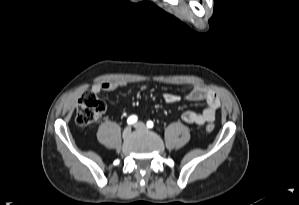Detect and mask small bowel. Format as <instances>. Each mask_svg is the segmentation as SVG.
<instances>
[{
    "label": "small bowel",
    "instance_id": "c3829d8e",
    "mask_svg": "<svg viewBox=\"0 0 299 205\" xmlns=\"http://www.w3.org/2000/svg\"><path fill=\"white\" fill-rule=\"evenodd\" d=\"M124 86L122 82L105 81L94 84L91 88V92L99 94L103 91H112ZM190 101H204L206 107L202 112L185 111L182 115V119L188 124L203 125L208 122H213L216 117L217 110L220 107V98L216 92L206 88L201 84H195L192 90L187 95ZM163 99L168 104L177 103L180 101V95L176 93H165Z\"/></svg>",
    "mask_w": 299,
    "mask_h": 205
}]
</instances>
